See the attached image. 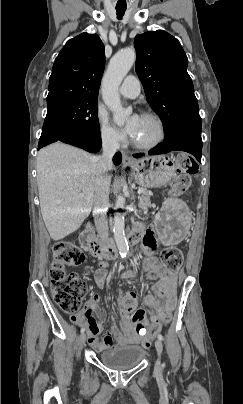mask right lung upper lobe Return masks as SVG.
Segmentation results:
<instances>
[{"label":"right lung upper lobe","mask_w":243,"mask_h":404,"mask_svg":"<svg viewBox=\"0 0 243 404\" xmlns=\"http://www.w3.org/2000/svg\"><path fill=\"white\" fill-rule=\"evenodd\" d=\"M105 66L104 45L96 34L70 39L56 57L47 105L63 100L97 99Z\"/></svg>","instance_id":"1"}]
</instances>
